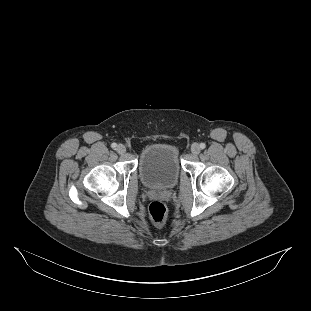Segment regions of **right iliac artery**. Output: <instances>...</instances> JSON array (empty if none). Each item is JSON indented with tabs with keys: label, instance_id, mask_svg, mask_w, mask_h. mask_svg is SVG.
<instances>
[{
	"label": "right iliac artery",
	"instance_id": "obj_1",
	"mask_svg": "<svg viewBox=\"0 0 311 311\" xmlns=\"http://www.w3.org/2000/svg\"><path fill=\"white\" fill-rule=\"evenodd\" d=\"M111 147H112L113 149H116L117 144H116V143H112V144H111Z\"/></svg>",
	"mask_w": 311,
	"mask_h": 311
}]
</instances>
